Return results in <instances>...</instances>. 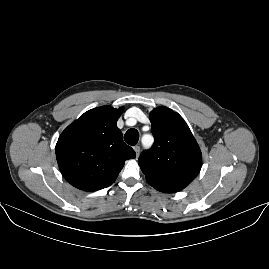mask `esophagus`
I'll return each instance as SVG.
<instances>
[{
	"label": "esophagus",
	"instance_id": "34e87169",
	"mask_svg": "<svg viewBox=\"0 0 269 269\" xmlns=\"http://www.w3.org/2000/svg\"><path fill=\"white\" fill-rule=\"evenodd\" d=\"M133 149H134V151L136 153V160H137L138 157H139V154H140V147L139 146H135Z\"/></svg>",
	"mask_w": 269,
	"mask_h": 269
}]
</instances>
